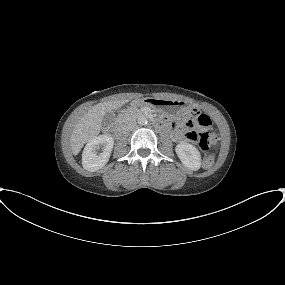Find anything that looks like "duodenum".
<instances>
[{"instance_id":"duodenum-1","label":"duodenum","mask_w":285,"mask_h":285,"mask_svg":"<svg viewBox=\"0 0 285 285\" xmlns=\"http://www.w3.org/2000/svg\"><path fill=\"white\" fill-rule=\"evenodd\" d=\"M143 103H144V101H138L136 104L140 105ZM158 123L162 128H165V129L169 128V122L166 119H161V120H159ZM121 132H122V127L119 124H113L110 127V133H112L113 135H120Z\"/></svg>"}]
</instances>
